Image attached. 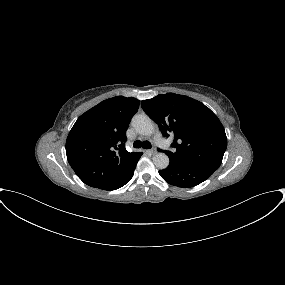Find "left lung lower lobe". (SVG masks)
I'll return each mask as SVG.
<instances>
[{
    "label": "left lung lower lobe",
    "mask_w": 285,
    "mask_h": 285,
    "mask_svg": "<svg viewBox=\"0 0 285 285\" xmlns=\"http://www.w3.org/2000/svg\"><path fill=\"white\" fill-rule=\"evenodd\" d=\"M214 173L213 170L204 167L188 166L178 163H170L163 170H159L160 176L169 184L190 188L196 186Z\"/></svg>",
    "instance_id": "left-lung-lower-lobe-1"
}]
</instances>
